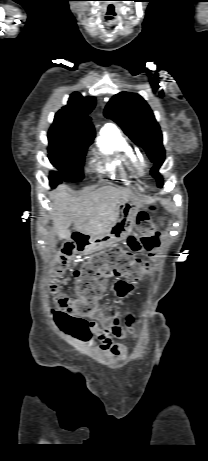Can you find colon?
<instances>
[{
    "label": "colon",
    "mask_w": 208,
    "mask_h": 461,
    "mask_svg": "<svg viewBox=\"0 0 208 461\" xmlns=\"http://www.w3.org/2000/svg\"><path fill=\"white\" fill-rule=\"evenodd\" d=\"M139 235H130L126 240L127 248L114 244L105 253L97 254L80 265L73 272L75 297L64 294L57 295V309L54 318L63 332L71 337L85 341L88 338V322L97 307L102 288L98 279L102 277H128L134 281L141 280L149 271L148 263L135 258L132 252L142 248L151 250L159 244V234L156 226L146 212H140L136 218ZM80 244L83 238L79 237ZM77 244L67 243L62 253L56 258L52 267L53 288L56 291L57 282L67 270L70 258Z\"/></svg>",
    "instance_id": "colon-1"
}]
</instances>
